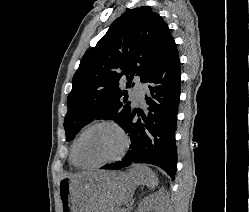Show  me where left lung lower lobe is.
Instances as JSON below:
<instances>
[{
    "label": "left lung lower lobe",
    "mask_w": 249,
    "mask_h": 212,
    "mask_svg": "<svg viewBox=\"0 0 249 212\" xmlns=\"http://www.w3.org/2000/svg\"><path fill=\"white\" fill-rule=\"evenodd\" d=\"M146 84L145 110L133 109L121 127L128 132L130 150L125 157L102 169H121L132 163L159 166L174 179L177 168L175 131L180 98V61L176 44L171 41L143 80ZM138 115L137 121L134 116Z\"/></svg>",
    "instance_id": "0a47b994"
}]
</instances>
